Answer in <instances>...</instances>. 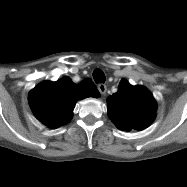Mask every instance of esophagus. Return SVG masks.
Returning <instances> with one entry per match:
<instances>
[{"label":"esophagus","instance_id":"esophagus-1","mask_svg":"<svg viewBox=\"0 0 187 187\" xmlns=\"http://www.w3.org/2000/svg\"><path fill=\"white\" fill-rule=\"evenodd\" d=\"M97 87H98V90H99V92H100L101 94H105V92H106V90H107L105 84L99 83Z\"/></svg>","mask_w":187,"mask_h":187}]
</instances>
